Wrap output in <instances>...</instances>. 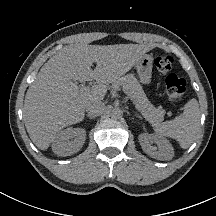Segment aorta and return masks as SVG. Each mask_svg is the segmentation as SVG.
<instances>
[{"instance_id": "762f6f07", "label": "aorta", "mask_w": 216, "mask_h": 216, "mask_svg": "<svg viewBox=\"0 0 216 216\" xmlns=\"http://www.w3.org/2000/svg\"><path fill=\"white\" fill-rule=\"evenodd\" d=\"M122 115H123V111L118 107L112 108L110 110V116L113 119H119L122 117Z\"/></svg>"}]
</instances>
